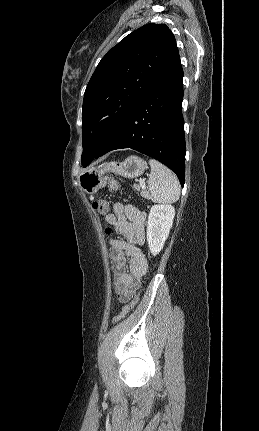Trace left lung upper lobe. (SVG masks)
Returning <instances> with one entry per match:
<instances>
[{
  "mask_svg": "<svg viewBox=\"0 0 259 431\" xmlns=\"http://www.w3.org/2000/svg\"><path fill=\"white\" fill-rule=\"evenodd\" d=\"M178 56L171 30L165 24L150 23L130 33L101 59L83 99L84 167Z\"/></svg>",
  "mask_w": 259,
  "mask_h": 431,
  "instance_id": "1",
  "label": "left lung upper lobe"
}]
</instances>
